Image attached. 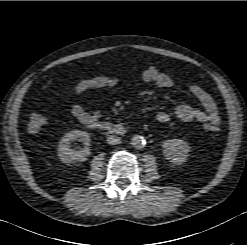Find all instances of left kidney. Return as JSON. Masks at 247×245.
Wrapping results in <instances>:
<instances>
[{"instance_id": "left-kidney-1", "label": "left kidney", "mask_w": 247, "mask_h": 245, "mask_svg": "<svg viewBox=\"0 0 247 245\" xmlns=\"http://www.w3.org/2000/svg\"><path fill=\"white\" fill-rule=\"evenodd\" d=\"M163 154L172 163L182 164L186 161L190 146L181 139H168L162 144Z\"/></svg>"}]
</instances>
